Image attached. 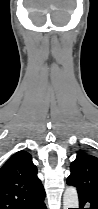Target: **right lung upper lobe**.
Instances as JSON below:
<instances>
[{"mask_svg":"<svg viewBox=\"0 0 98 209\" xmlns=\"http://www.w3.org/2000/svg\"><path fill=\"white\" fill-rule=\"evenodd\" d=\"M37 172L28 152L13 154L0 168V209H19L44 192Z\"/></svg>","mask_w":98,"mask_h":209,"instance_id":"1","label":"right lung upper lobe"}]
</instances>
